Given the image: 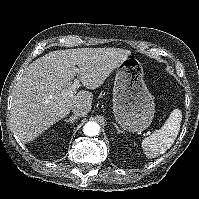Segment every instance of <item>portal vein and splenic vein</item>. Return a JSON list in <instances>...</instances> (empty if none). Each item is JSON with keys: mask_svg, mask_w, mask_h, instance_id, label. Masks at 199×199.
Instances as JSON below:
<instances>
[{"mask_svg": "<svg viewBox=\"0 0 199 199\" xmlns=\"http://www.w3.org/2000/svg\"><path fill=\"white\" fill-rule=\"evenodd\" d=\"M77 71V69H76ZM79 86V80H75L74 83L70 86L69 94L73 95L76 93V88Z\"/></svg>", "mask_w": 199, "mask_h": 199, "instance_id": "1", "label": "portal vein and splenic vein"}]
</instances>
